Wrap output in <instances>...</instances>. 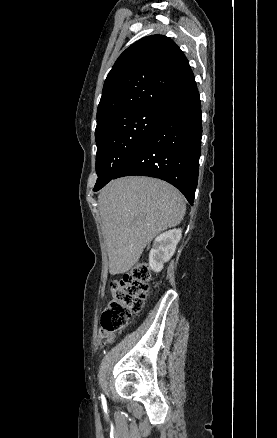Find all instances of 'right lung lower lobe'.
Returning <instances> with one entry per match:
<instances>
[{"label":"right lung lower lobe","instance_id":"right-lung-lower-lobe-1","mask_svg":"<svg viewBox=\"0 0 277 438\" xmlns=\"http://www.w3.org/2000/svg\"><path fill=\"white\" fill-rule=\"evenodd\" d=\"M155 66L164 69L170 64L156 63ZM201 136V105L195 86L165 106L143 144L113 179L131 175L160 178L177 187L188 202L193 204L198 181ZM102 187H94V191Z\"/></svg>","mask_w":277,"mask_h":438}]
</instances>
